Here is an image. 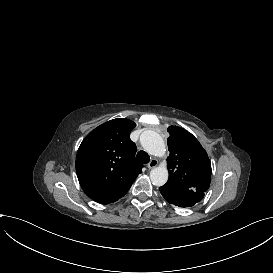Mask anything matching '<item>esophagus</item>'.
<instances>
[{
  "instance_id": "34e87169",
  "label": "esophagus",
  "mask_w": 273,
  "mask_h": 273,
  "mask_svg": "<svg viewBox=\"0 0 273 273\" xmlns=\"http://www.w3.org/2000/svg\"><path fill=\"white\" fill-rule=\"evenodd\" d=\"M158 165V160L155 158H152L151 161L148 163L147 167L149 169H152Z\"/></svg>"
}]
</instances>
